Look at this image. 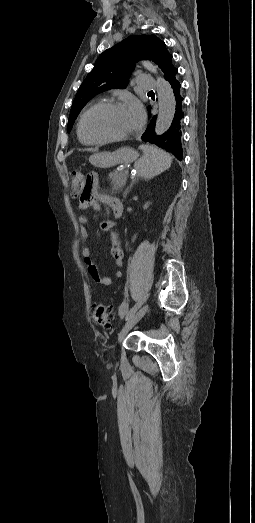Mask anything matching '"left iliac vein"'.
Wrapping results in <instances>:
<instances>
[{"mask_svg":"<svg viewBox=\"0 0 255 523\" xmlns=\"http://www.w3.org/2000/svg\"><path fill=\"white\" fill-rule=\"evenodd\" d=\"M149 308V305L146 304L144 305L142 308H140L138 310V312L136 314H134L127 322L126 324L124 325V327L122 328V330L120 331L119 335H118V341L121 342L123 340V338L126 336V334L132 329V327L137 324L141 318L145 315V313L147 312Z\"/></svg>","mask_w":255,"mask_h":523,"instance_id":"1","label":"left iliac vein"}]
</instances>
